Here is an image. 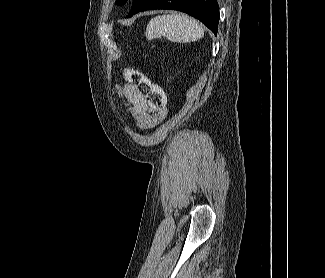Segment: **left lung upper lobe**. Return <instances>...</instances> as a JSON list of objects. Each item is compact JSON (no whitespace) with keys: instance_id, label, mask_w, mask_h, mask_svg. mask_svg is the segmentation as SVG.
<instances>
[{"instance_id":"1","label":"left lung upper lobe","mask_w":325,"mask_h":278,"mask_svg":"<svg viewBox=\"0 0 325 278\" xmlns=\"http://www.w3.org/2000/svg\"><path fill=\"white\" fill-rule=\"evenodd\" d=\"M127 0H116L117 5H123L126 3Z\"/></svg>"}]
</instances>
